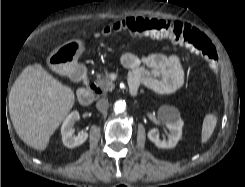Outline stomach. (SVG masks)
<instances>
[{
  "mask_svg": "<svg viewBox=\"0 0 245 187\" xmlns=\"http://www.w3.org/2000/svg\"><path fill=\"white\" fill-rule=\"evenodd\" d=\"M85 47L81 40H70L52 51L47 58L48 66L61 75L71 72L77 65Z\"/></svg>",
  "mask_w": 245,
  "mask_h": 187,
  "instance_id": "1",
  "label": "stomach"
}]
</instances>
